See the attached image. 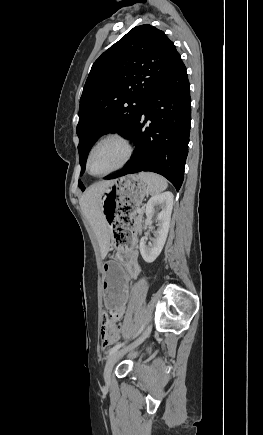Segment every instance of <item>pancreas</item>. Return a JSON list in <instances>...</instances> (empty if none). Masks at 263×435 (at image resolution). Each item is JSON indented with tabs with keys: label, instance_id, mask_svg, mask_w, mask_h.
Listing matches in <instances>:
<instances>
[{
	"label": "pancreas",
	"instance_id": "cf45deb5",
	"mask_svg": "<svg viewBox=\"0 0 263 435\" xmlns=\"http://www.w3.org/2000/svg\"><path fill=\"white\" fill-rule=\"evenodd\" d=\"M138 210L140 211L138 212ZM143 213V209H137L133 213H131V218L134 220L135 224H138L141 221ZM136 214H138V216H136Z\"/></svg>",
	"mask_w": 263,
	"mask_h": 435
}]
</instances>
